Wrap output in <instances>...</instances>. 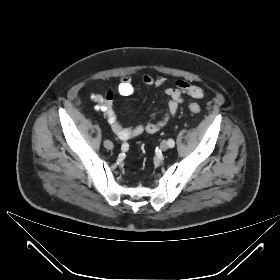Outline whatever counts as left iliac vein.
<instances>
[{
	"instance_id": "obj_1",
	"label": "left iliac vein",
	"mask_w": 280,
	"mask_h": 280,
	"mask_svg": "<svg viewBox=\"0 0 280 280\" xmlns=\"http://www.w3.org/2000/svg\"><path fill=\"white\" fill-rule=\"evenodd\" d=\"M160 148L162 151H167L169 149L167 141H162L160 144Z\"/></svg>"
}]
</instances>
